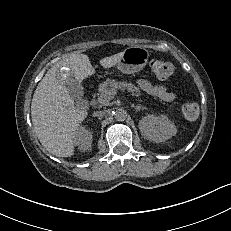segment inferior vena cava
<instances>
[{
	"instance_id": "obj_1",
	"label": "inferior vena cava",
	"mask_w": 231,
	"mask_h": 231,
	"mask_svg": "<svg viewBox=\"0 0 231 231\" xmlns=\"http://www.w3.org/2000/svg\"><path fill=\"white\" fill-rule=\"evenodd\" d=\"M104 114H106V111H96V112H94V116H102V115H104Z\"/></svg>"
}]
</instances>
